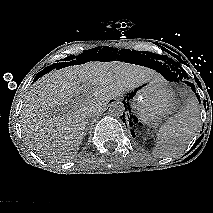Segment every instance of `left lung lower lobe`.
<instances>
[{"label": "left lung lower lobe", "mask_w": 213, "mask_h": 213, "mask_svg": "<svg viewBox=\"0 0 213 213\" xmlns=\"http://www.w3.org/2000/svg\"><path fill=\"white\" fill-rule=\"evenodd\" d=\"M172 80H174V81H179V80H181V79L175 77V79H172ZM185 83H186L187 85H189V86L191 87L192 91H194V92L196 93L194 84L189 83L188 81H185ZM196 96H197L198 101L200 102L199 96H198L197 94H196ZM123 117H124V113H123Z\"/></svg>", "instance_id": "1"}]
</instances>
